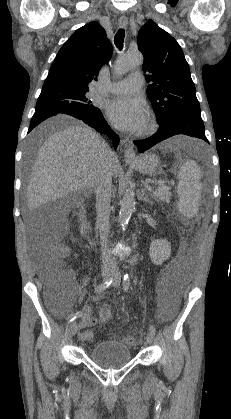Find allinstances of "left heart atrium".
<instances>
[{
  "mask_svg": "<svg viewBox=\"0 0 231 419\" xmlns=\"http://www.w3.org/2000/svg\"><path fill=\"white\" fill-rule=\"evenodd\" d=\"M110 121L118 128L137 132L145 124V110L141 101L134 97H121L110 101L106 106Z\"/></svg>",
  "mask_w": 231,
  "mask_h": 419,
  "instance_id": "39dd6f15",
  "label": "left heart atrium"
}]
</instances>
